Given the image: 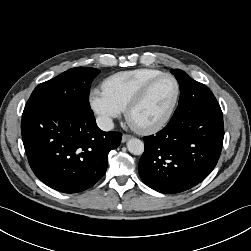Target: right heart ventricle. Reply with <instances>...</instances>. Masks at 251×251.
<instances>
[{"label": "right heart ventricle", "instance_id": "obj_1", "mask_svg": "<svg viewBox=\"0 0 251 251\" xmlns=\"http://www.w3.org/2000/svg\"><path fill=\"white\" fill-rule=\"evenodd\" d=\"M162 73L148 68L118 72L105 79L103 89L124 110L149 80Z\"/></svg>", "mask_w": 251, "mask_h": 251}]
</instances>
